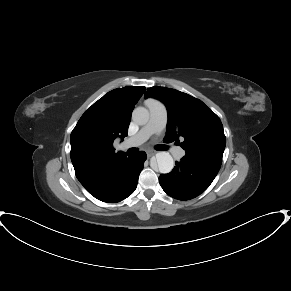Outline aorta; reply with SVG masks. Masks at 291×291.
<instances>
[{
	"label": "aorta",
	"mask_w": 291,
	"mask_h": 291,
	"mask_svg": "<svg viewBox=\"0 0 291 291\" xmlns=\"http://www.w3.org/2000/svg\"><path fill=\"white\" fill-rule=\"evenodd\" d=\"M132 120L138 125H144L149 120V112L144 107H137L133 110ZM156 162L160 173L166 174L172 171L174 160L172 156L165 151L156 154Z\"/></svg>",
	"instance_id": "1"
}]
</instances>
